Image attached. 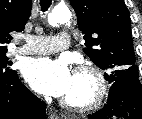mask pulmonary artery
Listing matches in <instances>:
<instances>
[{
	"mask_svg": "<svg viewBox=\"0 0 142 119\" xmlns=\"http://www.w3.org/2000/svg\"><path fill=\"white\" fill-rule=\"evenodd\" d=\"M25 44L17 48L20 54H47L59 52L70 44V36L63 32L54 37H24Z\"/></svg>",
	"mask_w": 142,
	"mask_h": 119,
	"instance_id": "pulmonary-artery-1",
	"label": "pulmonary artery"
}]
</instances>
